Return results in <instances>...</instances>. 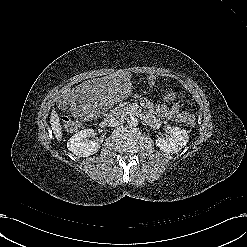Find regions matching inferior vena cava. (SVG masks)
I'll return each instance as SVG.
<instances>
[{"label": "inferior vena cava", "instance_id": "obj_1", "mask_svg": "<svg viewBox=\"0 0 247 247\" xmlns=\"http://www.w3.org/2000/svg\"><path fill=\"white\" fill-rule=\"evenodd\" d=\"M124 123V119L120 118L116 114L112 113L109 115V126L115 127Z\"/></svg>", "mask_w": 247, "mask_h": 247}]
</instances>
